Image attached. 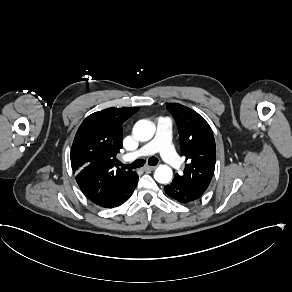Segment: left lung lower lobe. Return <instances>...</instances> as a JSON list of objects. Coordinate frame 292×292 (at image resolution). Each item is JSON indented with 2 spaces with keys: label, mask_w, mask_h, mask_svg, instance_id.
Segmentation results:
<instances>
[{
  "label": "left lung lower lobe",
  "mask_w": 292,
  "mask_h": 292,
  "mask_svg": "<svg viewBox=\"0 0 292 292\" xmlns=\"http://www.w3.org/2000/svg\"><path fill=\"white\" fill-rule=\"evenodd\" d=\"M165 192L169 197L183 204L196 201L203 195L202 192L185 187L175 181L165 186Z\"/></svg>",
  "instance_id": "left-lung-lower-lobe-1"
}]
</instances>
